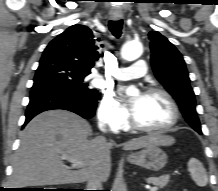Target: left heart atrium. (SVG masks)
<instances>
[{"instance_id": "39dd6f15", "label": "left heart atrium", "mask_w": 218, "mask_h": 191, "mask_svg": "<svg viewBox=\"0 0 218 191\" xmlns=\"http://www.w3.org/2000/svg\"><path fill=\"white\" fill-rule=\"evenodd\" d=\"M142 96H143V95H140V97H142ZM136 106H137L136 102H133L132 105H131V110H132L133 113H134L135 110H136Z\"/></svg>"}]
</instances>
